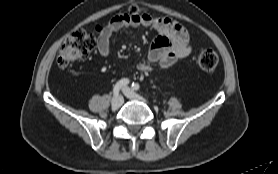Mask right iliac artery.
Returning a JSON list of instances; mask_svg holds the SVG:
<instances>
[{
    "label": "right iliac artery",
    "instance_id": "1",
    "mask_svg": "<svg viewBox=\"0 0 278 174\" xmlns=\"http://www.w3.org/2000/svg\"><path fill=\"white\" fill-rule=\"evenodd\" d=\"M128 84H129V79H127V78H123V79L119 80V81L115 84V86H114V88H113V94H114V96L119 95V91H120L122 88H124L125 86H127Z\"/></svg>",
    "mask_w": 278,
    "mask_h": 174
}]
</instances>
